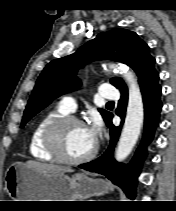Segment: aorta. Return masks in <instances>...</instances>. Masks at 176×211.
<instances>
[{"label": "aorta", "instance_id": "aorta-1", "mask_svg": "<svg viewBox=\"0 0 176 211\" xmlns=\"http://www.w3.org/2000/svg\"><path fill=\"white\" fill-rule=\"evenodd\" d=\"M110 67L123 75L128 84L129 99L126 118L115 153V159L122 162L131 153L139 138L144 120V105L140 87L133 71L120 64Z\"/></svg>", "mask_w": 176, "mask_h": 211}]
</instances>
